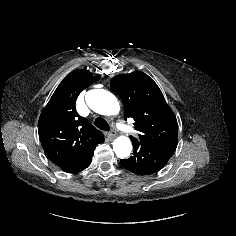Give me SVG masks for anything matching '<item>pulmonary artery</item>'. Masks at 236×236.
I'll list each match as a JSON object with an SVG mask.
<instances>
[{
    "label": "pulmonary artery",
    "mask_w": 236,
    "mask_h": 236,
    "mask_svg": "<svg viewBox=\"0 0 236 236\" xmlns=\"http://www.w3.org/2000/svg\"><path fill=\"white\" fill-rule=\"evenodd\" d=\"M118 127H119V128H121V127H122V125H120V124H119V125H118Z\"/></svg>",
    "instance_id": "pulmonary-artery-1"
}]
</instances>
